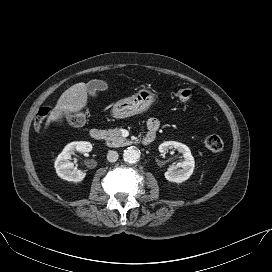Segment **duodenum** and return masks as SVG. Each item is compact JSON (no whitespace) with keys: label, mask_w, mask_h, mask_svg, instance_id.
<instances>
[{"label":"duodenum","mask_w":272,"mask_h":272,"mask_svg":"<svg viewBox=\"0 0 272 272\" xmlns=\"http://www.w3.org/2000/svg\"><path fill=\"white\" fill-rule=\"evenodd\" d=\"M104 135H105L104 131L100 128H92L90 130V136L95 141L102 140L104 138ZM154 138H155V134L153 133L146 134L145 137L143 138V144L145 146L151 144Z\"/></svg>","instance_id":"1"}]
</instances>
